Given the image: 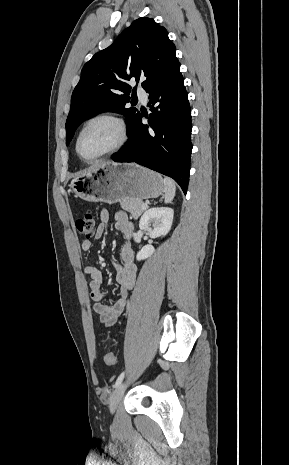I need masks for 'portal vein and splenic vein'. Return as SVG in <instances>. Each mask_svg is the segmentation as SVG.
I'll return each instance as SVG.
<instances>
[{
	"mask_svg": "<svg viewBox=\"0 0 289 465\" xmlns=\"http://www.w3.org/2000/svg\"><path fill=\"white\" fill-rule=\"evenodd\" d=\"M142 208H143V209H146V208H147V204H143V205H142Z\"/></svg>",
	"mask_w": 289,
	"mask_h": 465,
	"instance_id": "portal-vein-and-splenic-vein-1",
	"label": "portal vein and splenic vein"
}]
</instances>
